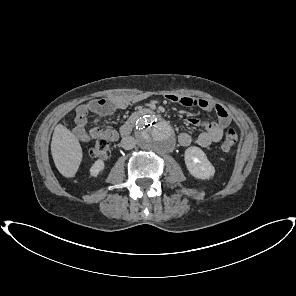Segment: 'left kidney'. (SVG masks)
<instances>
[{
  "label": "left kidney",
  "mask_w": 296,
  "mask_h": 296,
  "mask_svg": "<svg viewBox=\"0 0 296 296\" xmlns=\"http://www.w3.org/2000/svg\"><path fill=\"white\" fill-rule=\"evenodd\" d=\"M184 160L190 174L197 179H209L215 174L214 166L199 147L191 146L187 148Z\"/></svg>",
  "instance_id": "1"
}]
</instances>
